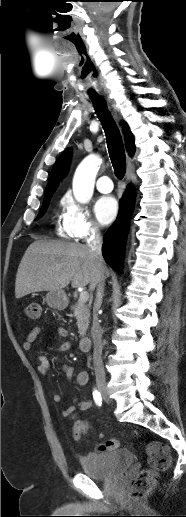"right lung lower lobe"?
Segmentation results:
<instances>
[{
    "instance_id": "1",
    "label": "right lung lower lobe",
    "mask_w": 186,
    "mask_h": 517,
    "mask_svg": "<svg viewBox=\"0 0 186 517\" xmlns=\"http://www.w3.org/2000/svg\"><path fill=\"white\" fill-rule=\"evenodd\" d=\"M134 190L126 189L120 200L118 218L104 236L102 254L106 262L117 272H121L124 247L129 231L130 216L134 207Z\"/></svg>"
}]
</instances>
